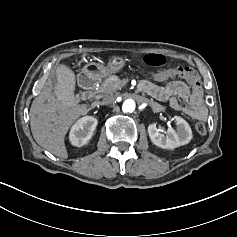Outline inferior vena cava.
I'll list each match as a JSON object with an SVG mask.
<instances>
[{
	"label": "inferior vena cava",
	"mask_w": 237,
	"mask_h": 237,
	"mask_svg": "<svg viewBox=\"0 0 237 237\" xmlns=\"http://www.w3.org/2000/svg\"><path fill=\"white\" fill-rule=\"evenodd\" d=\"M116 102V97L114 95H107L103 98L102 104L103 105H111Z\"/></svg>",
	"instance_id": "inferior-vena-cava-1"
}]
</instances>
